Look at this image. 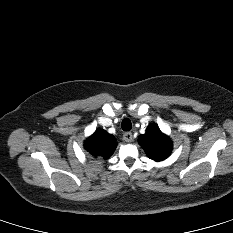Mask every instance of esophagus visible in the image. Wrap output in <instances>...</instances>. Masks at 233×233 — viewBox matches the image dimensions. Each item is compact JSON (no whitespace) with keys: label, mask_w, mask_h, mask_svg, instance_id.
<instances>
[{"label":"esophagus","mask_w":233,"mask_h":233,"mask_svg":"<svg viewBox=\"0 0 233 233\" xmlns=\"http://www.w3.org/2000/svg\"><path fill=\"white\" fill-rule=\"evenodd\" d=\"M123 140L125 141V142H132V140H133V135H132V133L131 132H125L124 134H123Z\"/></svg>","instance_id":"1"}]
</instances>
